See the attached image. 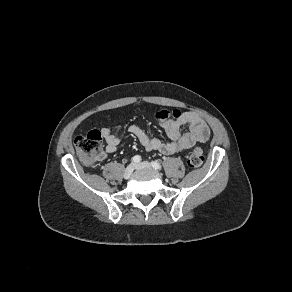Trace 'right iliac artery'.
I'll return each mask as SVG.
<instances>
[{"label":"right iliac artery","instance_id":"right-iliac-artery-1","mask_svg":"<svg viewBox=\"0 0 292 292\" xmlns=\"http://www.w3.org/2000/svg\"><path fill=\"white\" fill-rule=\"evenodd\" d=\"M132 161L134 163H139L141 161V156L139 155H135L133 158H132Z\"/></svg>","mask_w":292,"mask_h":292}]
</instances>
